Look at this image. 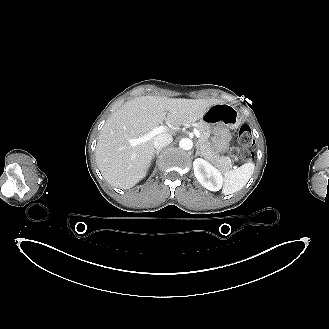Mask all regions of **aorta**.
<instances>
[{
	"label": "aorta",
	"instance_id": "aorta-1",
	"mask_svg": "<svg viewBox=\"0 0 329 329\" xmlns=\"http://www.w3.org/2000/svg\"><path fill=\"white\" fill-rule=\"evenodd\" d=\"M179 146L184 150H190L193 146V142L189 138H182L179 142Z\"/></svg>",
	"mask_w": 329,
	"mask_h": 329
}]
</instances>
